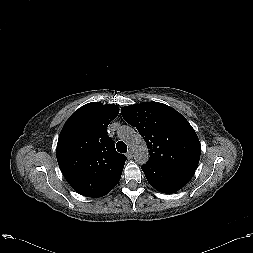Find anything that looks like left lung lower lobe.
Returning <instances> with one entry per match:
<instances>
[{
	"label": "left lung lower lobe",
	"mask_w": 253,
	"mask_h": 253,
	"mask_svg": "<svg viewBox=\"0 0 253 253\" xmlns=\"http://www.w3.org/2000/svg\"><path fill=\"white\" fill-rule=\"evenodd\" d=\"M148 182L162 193H174L185 186L195 173L194 169L180 166H141Z\"/></svg>",
	"instance_id": "left-lung-lower-lobe-1"
}]
</instances>
